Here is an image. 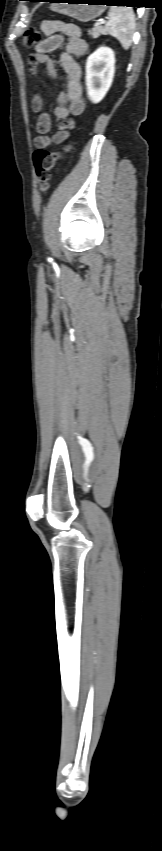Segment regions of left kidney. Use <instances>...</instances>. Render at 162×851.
I'll use <instances>...</instances> for the list:
<instances>
[{
    "mask_svg": "<svg viewBox=\"0 0 162 851\" xmlns=\"http://www.w3.org/2000/svg\"><path fill=\"white\" fill-rule=\"evenodd\" d=\"M115 73V55L112 49L100 47L86 61V87L89 99L99 103L111 87Z\"/></svg>",
    "mask_w": 162,
    "mask_h": 851,
    "instance_id": "1",
    "label": "left kidney"
}]
</instances>
